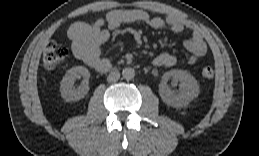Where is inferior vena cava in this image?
I'll use <instances>...</instances> for the list:
<instances>
[{
    "label": "inferior vena cava",
    "instance_id": "602c4592",
    "mask_svg": "<svg viewBox=\"0 0 259 156\" xmlns=\"http://www.w3.org/2000/svg\"><path fill=\"white\" fill-rule=\"evenodd\" d=\"M120 78V73L118 71H112L107 77L108 82H116Z\"/></svg>",
    "mask_w": 259,
    "mask_h": 156
}]
</instances>
